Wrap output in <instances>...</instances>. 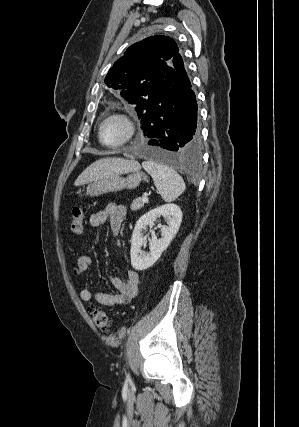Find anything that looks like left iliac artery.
<instances>
[{
    "label": "left iliac artery",
    "instance_id": "left-iliac-artery-1",
    "mask_svg": "<svg viewBox=\"0 0 299 427\" xmlns=\"http://www.w3.org/2000/svg\"><path fill=\"white\" fill-rule=\"evenodd\" d=\"M127 379L130 380V375L129 374L127 375Z\"/></svg>",
    "mask_w": 299,
    "mask_h": 427
}]
</instances>
